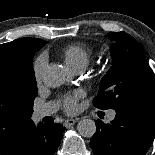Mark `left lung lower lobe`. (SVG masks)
<instances>
[{
	"label": "left lung lower lobe",
	"mask_w": 155,
	"mask_h": 155,
	"mask_svg": "<svg viewBox=\"0 0 155 155\" xmlns=\"http://www.w3.org/2000/svg\"><path fill=\"white\" fill-rule=\"evenodd\" d=\"M155 137V101L116 110L109 124L96 121L90 141L95 155H145Z\"/></svg>",
	"instance_id": "obj_1"
}]
</instances>
